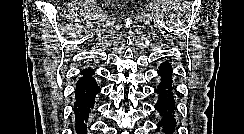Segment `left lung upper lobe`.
Here are the masks:
<instances>
[{"mask_svg":"<svg viewBox=\"0 0 244 134\" xmlns=\"http://www.w3.org/2000/svg\"><path fill=\"white\" fill-rule=\"evenodd\" d=\"M158 74L161 75L162 84H172L171 64L168 62L162 63L159 67Z\"/></svg>","mask_w":244,"mask_h":134,"instance_id":"1","label":"left lung upper lobe"}]
</instances>
